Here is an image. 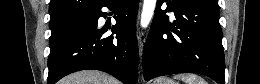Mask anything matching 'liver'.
Instances as JSON below:
<instances>
[{"instance_id": "6515ba94", "label": "liver", "mask_w": 260, "mask_h": 84, "mask_svg": "<svg viewBox=\"0 0 260 84\" xmlns=\"http://www.w3.org/2000/svg\"><path fill=\"white\" fill-rule=\"evenodd\" d=\"M60 84H119V81L100 71L84 70L68 75Z\"/></svg>"}]
</instances>
